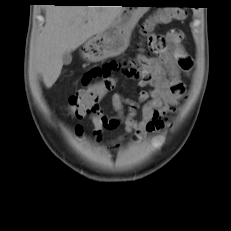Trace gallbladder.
<instances>
[{
    "instance_id": "gallbladder-1",
    "label": "gallbladder",
    "mask_w": 231,
    "mask_h": 231,
    "mask_svg": "<svg viewBox=\"0 0 231 231\" xmlns=\"http://www.w3.org/2000/svg\"><path fill=\"white\" fill-rule=\"evenodd\" d=\"M72 61V56L69 52L63 54V64L69 65Z\"/></svg>"
}]
</instances>
